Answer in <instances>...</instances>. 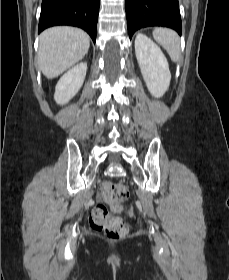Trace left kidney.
Masks as SVG:
<instances>
[{
    "label": "left kidney",
    "mask_w": 229,
    "mask_h": 280,
    "mask_svg": "<svg viewBox=\"0 0 229 280\" xmlns=\"http://www.w3.org/2000/svg\"><path fill=\"white\" fill-rule=\"evenodd\" d=\"M136 58L146 86L153 97H162L170 85L171 73L161 49L146 35L135 39Z\"/></svg>",
    "instance_id": "1"
}]
</instances>
